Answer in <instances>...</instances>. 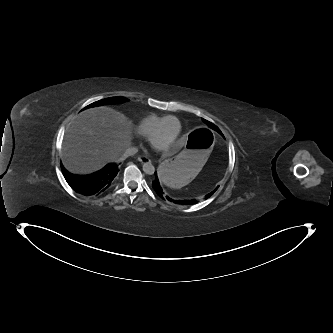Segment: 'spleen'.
I'll return each instance as SVG.
<instances>
[{
	"instance_id": "spleen-1",
	"label": "spleen",
	"mask_w": 333,
	"mask_h": 333,
	"mask_svg": "<svg viewBox=\"0 0 333 333\" xmlns=\"http://www.w3.org/2000/svg\"><path fill=\"white\" fill-rule=\"evenodd\" d=\"M163 163V162H162ZM161 163V164H162ZM161 164L159 165V168H160V166H161ZM159 168H158V177H159ZM159 179H160V177H159ZM160 181H161V179H160ZM162 182V181H161ZM163 183V182H162ZM163 184H165V183H163ZM166 186H169V187H171V185H167V184H165Z\"/></svg>"
}]
</instances>
